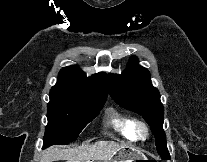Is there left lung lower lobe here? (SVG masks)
I'll use <instances>...</instances> for the list:
<instances>
[{
  "label": "left lung lower lobe",
  "instance_id": "1",
  "mask_svg": "<svg viewBox=\"0 0 207 162\" xmlns=\"http://www.w3.org/2000/svg\"><path fill=\"white\" fill-rule=\"evenodd\" d=\"M163 160H170V156L166 157V158H162Z\"/></svg>",
  "mask_w": 207,
  "mask_h": 162
}]
</instances>
